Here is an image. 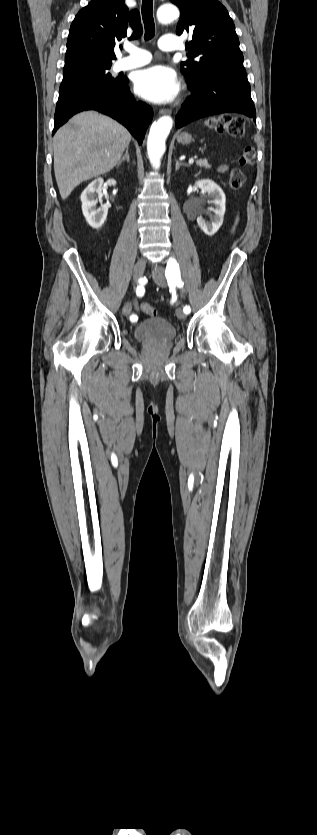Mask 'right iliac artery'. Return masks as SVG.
Returning <instances> with one entry per match:
<instances>
[{"label": "right iliac artery", "instance_id": "82829eb1", "mask_svg": "<svg viewBox=\"0 0 317 835\" xmlns=\"http://www.w3.org/2000/svg\"><path fill=\"white\" fill-rule=\"evenodd\" d=\"M139 283L140 284L136 288V295L138 297H142L145 293V288H144V285H143V281L139 280ZM130 320L131 321H136L137 317L135 315H132V316H130Z\"/></svg>", "mask_w": 317, "mask_h": 835}]
</instances>
